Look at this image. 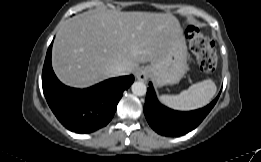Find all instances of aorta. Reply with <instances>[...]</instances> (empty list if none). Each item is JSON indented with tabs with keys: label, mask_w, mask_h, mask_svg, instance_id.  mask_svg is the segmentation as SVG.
<instances>
[{
	"label": "aorta",
	"mask_w": 261,
	"mask_h": 162,
	"mask_svg": "<svg viewBox=\"0 0 261 162\" xmlns=\"http://www.w3.org/2000/svg\"><path fill=\"white\" fill-rule=\"evenodd\" d=\"M131 89L133 94L136 96H144L147 91L146 85L141 81L134 82Z\"/></svg>",
	"instance_id": "1"
}]
</instances>
